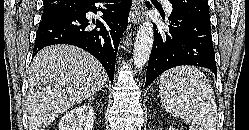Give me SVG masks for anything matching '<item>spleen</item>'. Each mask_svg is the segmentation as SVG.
I'll return each instance as SVG.
<instances>
[{"label": "spleen", "mask_w": 249, "mask_h": 130, "mask_svg": "<svg viewBox=\"0 0 249 130\" xmlns=\"http://www.w3.org/2000/svg\"><path fill=\"white\" fill-rule=\"evenodd\" d=\"M159 94L172 116H180L190 130H216L215 95L204 73L194 66H179L161 75Z\"/></svg>", "instance_id": "1"}]
</instances>
